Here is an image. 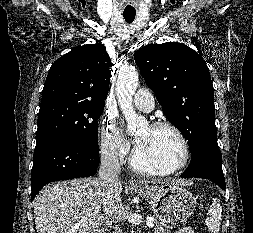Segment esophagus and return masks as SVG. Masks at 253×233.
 <instances>
[{
  "label": "esophagus",
  "instance_id": "34e87169",
  "mask_svg": "<svg viewBox=\"0 0 253 233\" xmlns=\"http://www.w3.org/2000/svg\"><path fill=\"white\" fill-rule=\"evenodd\" d=\"M129 185L130 186H138V185H140V182L132 179V180H129Z\"/></svg>",
  "mask_w": 253,
  "mask_h": 233
}]
</instances>
